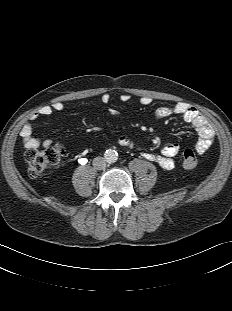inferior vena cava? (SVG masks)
Segmentation results:
<instances>
[{
	"label": "inferior vena cava",
	"instance_id": "obj_1",
	"mask_svg": "<svg viewBox=\"0 0 232 311\" xmlns=\"http://www.w3.org/2000/svg\"><path fill=\"white\" fill-rule=\"evenodd\" d=\"M93 166L97 170L105 169L106 168V160H105V158L100 157V156L95 157L93 159Z\"/></svg>",
	"mask_w": 232,
	"mask_h": 311
}]
</instances>
